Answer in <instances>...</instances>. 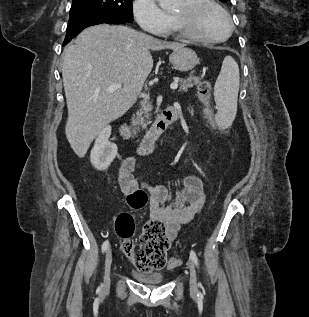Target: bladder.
I'll use <instances>...</instances> for the list:
<instances>
[{
  "label": "bladder",
  "instance_id": "bladder-1",
  "mask_svg": "<svg viewBox=\"0 0 309 317\" xmlns=\"http://www.w3.org/2000/svg\"><path fill=\"white\" fill-rule=\"evenodd\" d=\"M131 274L135 280L144 284L157 285V284H161L164 280L163 275L159 272L144 273V272H139L137 270H132Z\"/></svg>",
  "mask_w": 309,
  "mask_h": 317
}]
</instances>
